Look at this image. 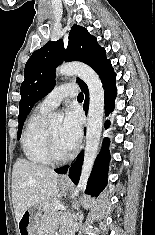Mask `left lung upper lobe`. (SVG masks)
<instances>
[{
	"instance_id": "1",
	"label": "left lung upper lobe",
	"mask_w": 155,
	"mask_h": 235,
	"mask_svg": "<svg viewBox=\"0 0 155 235\" xmlns=\"http://www.w3.org/2000/svg\"><path fill=\"white\" fill-rule=\"evenodd\" d=\"M63 60L84 62L98 74L110 62L106 59L105 49L99 46L96 38L86 28L78 25L71 28L66 50L62 39L50 41L36 50L25 65V79L20 88L18 138L33 105L54 88L55 69ZM77 82L80 88L86 85L79 78Z\"/></svg>"
}]
</instances>
